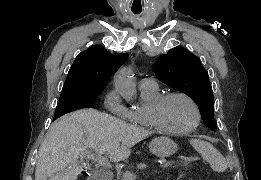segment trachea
Segmentation results:
<instances>
[{
	"mask_svg": "<svg viewBox=\"0 0 261 180\" xmlns=\"http://www.w3.org/2000/svg\"><path fill=\"white\" fill-rule=\"evenodd\" d=\"M133 13H135L136 15H138L139 13H141L140 11H133Z\"/></svg>",
	"mask_w": 261,
	"mask_h": 180,
	"instance_id": "3493384b",
	"label": "trachea"
}]
</instances>
